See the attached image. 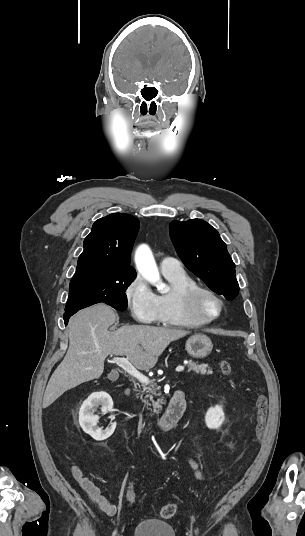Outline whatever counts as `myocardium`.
Instances as JSON below:
<instances>
[{
    "label": "myocardium",
    "mask_w": 305,
    "mask_h": 536,
    "mask_svg": "<svg viewBox=\"0 0 305 536\" xmlns=\"http://www.w3.org/2000/svg\"><path fill=\"white\" fill-rule=\"evenodd\" d=\"M204 295H210L220 301L219 313L211 318L205 319L200 313L199 302ZM177 303L183 316L191 321V326H209L218 321L226 310V301L223 295L216 290L206 286H193L182 290L177 294Z\"/></svg>",
    "instance_id": "myocardium-1"
}]
</instances>
